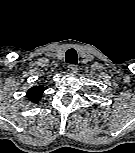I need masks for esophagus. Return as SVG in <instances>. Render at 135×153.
Segmentation results:
<instances>
[{"instance_id":"obj_1","label":"esophagus","mask_w":135,"mask_h":153,"mask_svg":"<svg viewBox=\"0 0 135 153\" xmlns=\"http://www.w3.org/2000/svg\"><path fill=\"white\" fill-rule=\"evenodd\" d=\"M77 70H78V68L76 65H73V64L68 65V71L70 73L75 74V73H77Z\"/></svg>"}]
</instances>
